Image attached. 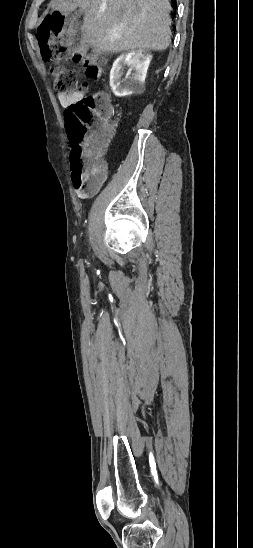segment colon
<instances>
[{
	"label": "colon",
	"instance_id": "5ec220e1",
	"mask_svg": "<svg viewBox=\"0 0 253 548\" xmlns=\"http://www.w3.org/2000/svg\"><path fill=\"white\" fill-rule=\"evenodd\" d=\"M42 58L52 63L49 73L54 87L62 94L86 90L79 84L73 71L63 62L71 59L84 68L89 78H97L99 69L91 51L79 43L69 42L65 17L57 11L50 12L38 28ZM112 105L103 95H89L71 104L66 110L68 135L71 141L70 165L74 185H88L99 179L105 171L102 154L111 133Z\"/></svg>",
	"mask_w": 253,
	"mask_h": 548
}]
</instances>
